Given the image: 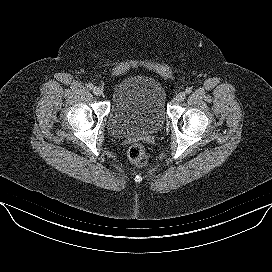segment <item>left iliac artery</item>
I'll return each instance as SVG.
<instances>
[{
  "label": "left iliac artery",
  "mask_w": 272,
  "mask_h": 272,
  "mask_svg": "<svg viewBox=\"0 0 272 272\" xmlns=\"http://www.w3.org/2000/svg\"><path fill=\"white\" fill-rule=\"evenodd\" d=\"M185 92L187 94H190L192 92V88L191 87H187L186 90H185Z\"/></svg>",
  "instance_id": "44dca946"
}]
</instances>
